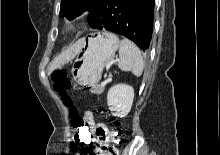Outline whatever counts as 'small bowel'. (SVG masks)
<instances>
[{
  "label": "small bowel",
  "mask_w": 220,
  "mask_h": 155,
  "mask_svg": "<svg viewBox=\"0 0 220 155\" xmlns=\"http://www.w3.org/2000/svg\"><path fill=\"white\" fill-rule=\"evenodd\" d=\"M84 120H85V123L89 124L88 129H91V135H93V140L92 141L94 142L95 136H96V132H97V129H98L100 123H96L94 121L93 115L90 112L86 113V115L84 117ZM82 145L89 146L91 144H82Z\"/></svg>",
  "instance_id": "c3829d8e"
}]
</instances>
